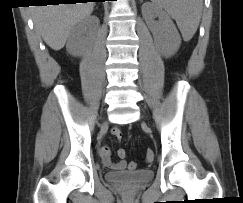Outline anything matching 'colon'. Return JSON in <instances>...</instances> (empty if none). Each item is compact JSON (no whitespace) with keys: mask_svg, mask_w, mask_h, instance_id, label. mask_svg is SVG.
<instances>
[{"mask_svg":"<svg viewBox=\"0 0 243 203\" xmlns=\"http://www.w3.org/2000/svg\"><path fill=\"white\" fill-rule=\"evenodd\" d=\"M119 154L122 155V156H125V155H126V152H125L124 149H121V150L119 151ZM154 158H155V155H154L153 151L148 150V151L146 152V155H145V160H146L147 162H152V161L154 160ZM129 167H130V169H135V168H136V163L131 162V163L129 164Z\"/></svg>","mask_w":243,"mask_h":203,"instance_id":"1","label":"colon"}]
</instances>
